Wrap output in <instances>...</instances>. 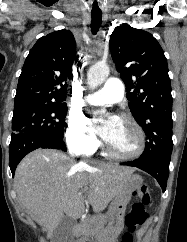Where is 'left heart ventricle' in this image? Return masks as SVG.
<instances>
[{
	"instance_id": "b2bd125f",
	"label": "left heart ventricle",
	"mask_w": 187,
	"mask_h": 242,
	"mask_svg": "<svg viewBox=\"0 0 187 242\" xmlns=\"http://www.w3.org/2000/svg\"><path fill=\"white\" fill-rule=\"evenodd\" d=\"M107 143L117 151L132 152L138 146V135L131 124L115 118Z\"/></svg>"
}]
</instances>
